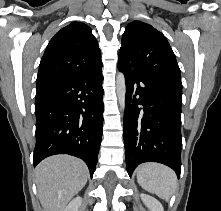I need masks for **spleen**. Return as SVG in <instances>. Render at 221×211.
Here are the masks:
<instances>
[{"label": "spleen", "instance_id": "1", "mask_svg": "<svg viewBox=\"0 0 221 211\" xmlns=\"http://www.w3.org/2000/svg\"><path fill=\"white\" fill-rule=\"evenodd\" d=\"M137 181L148 192L168 201L174 193L177 178L173 170L157 163H145L137 168Z\"/></svg>", "mask_w": 221, "mask_h": 211}]
</instances>
